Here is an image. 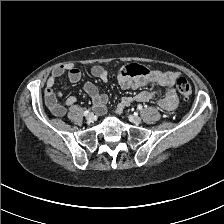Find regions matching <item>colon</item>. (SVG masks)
Returning <instances> with one entry per match:
<instances>
[{
    "label": "colon",
    "instance_id": "colon-1",
    "mask_svg": "<svg viewBox=\"0 0 224 224\" xmlns=\"http://www.w3.org/2000/svg\"><path fill=\"white\" fill-rule=\"evenodd\" d=\"M149 69L147 66L140 64H130L124 67L122 73L126 76L136 77V76H146L149 74ZM176 88L179 94L183 98H189L192 95V88L185 77H178L176 79Z\"/></svg>",
    "mask_w": 224,
    "mask_h": 224
}]
</instances>
